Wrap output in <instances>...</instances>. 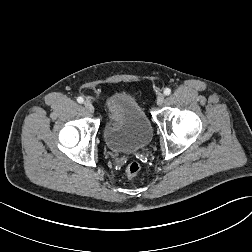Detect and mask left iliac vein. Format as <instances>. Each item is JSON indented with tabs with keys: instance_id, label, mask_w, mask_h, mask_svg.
<instances>
[{
	"instance_id": "left-iliac-vein-1",
	"label": "left iliac vein",
	"mask_w": 252,
	"mask_h": 252,
	"mask_svg": "<svg viewBox=\"0 0 252 252\" xmlns=\"http://www.w3.org/2000/svg\"><path fill=\"white\" fill-rule=\"evenodd\" d=\"M164 98H165L164 94H162V93L158 94L157 100H156V101H157V104H158V105H162L163 102H164Z\"/></svg>"
}]
</instances>
